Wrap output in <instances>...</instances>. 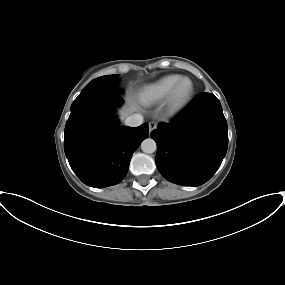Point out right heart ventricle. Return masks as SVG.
Wrapping results in <instances>:
<instances>
[{
  "mask_svg": "<svg viewBox=\"0 0 285 285\" xmlns=\"http://www.w3.org/2000/svg\"><path fill=\"white\" fill-rule=\"evenodd\" d=\"M182 78L181 75H167L144 86L139 93V100L144 105L160 103L168 98L174 86Z\"/></svg>",
  "mask_w": 285,
  "mask_h": 285,
  "instance_id": "right-heart-ventricle-1",
  "label": "right heart ventricle"
}]
</instances>
